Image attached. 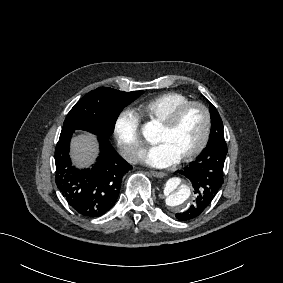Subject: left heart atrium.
<instances>
[{"label":"left heart atrium","mask_w":283,"mask_h":283,"mask_svg":"<svg viewBox=\"0 0 283 283\" xmlns=\"http://www.w3.org/2000/svg\"><path fill=\"white\" fill-rule=\"evenodd\" d=\"M139 159L146 166L166 168L177 163L180 157L166 143H159L144 150Z\"/></svg>","instance_id":"left-heart-atrium-1"}]
</instances>
